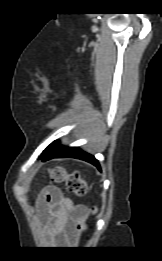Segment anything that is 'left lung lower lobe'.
I'll return each mask as SVG.
<instances>
[{
  "label": "left lung lower lobe",
  "instance_id": "left-lung-lower-lobe-1",
  "mask_svg": "<svg viewBox=\"0 0 162 261\" xmlns=\"http://www.w3.org/2000/svg\"><path fill=\"white\" fill-rule=\"evenodd\" d=\"M43 157V161L52 159V158H76L85 160L93 165H95L98 169H100V165L98 160L95 159L93 155H90L78 147H62L57 143L52 149H50Z\"/></svg>",
  "mask_w": 162,
  "mask_h": 261
}]
</instances>
